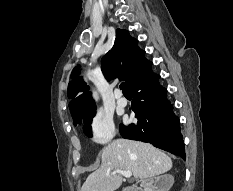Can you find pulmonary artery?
Returning <instances> with one entry per match:
<instances>
[{
    "label": "pulmonary artery",
    "mask_w": 233,
    "mask_h": 191,
    "mask_svg": "<svg viewBox=\"0 0 233 191\" xmlns=\"http://www.w3.org/2000/svg\"><path fill=\"white\" fill-rule=\"evenodd\" d=\"M116 102L119 106L125 107L127 105V99L122 95L119 89L115 91Z\"/></svg>",
    "instance_id": "e3ab8cb5"
}]
</instances>
